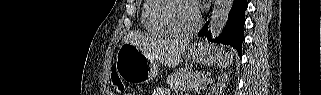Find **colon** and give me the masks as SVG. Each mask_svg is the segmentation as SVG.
I'll return each mask as SVG.
<instances>
[{"mask_svg":"<svg viewBox=\"0 0 321 95\" xmlns=\"http://www.w3.org/2000/svg\"><path fill=\"white\" fill-rule=\"evenodd\" d=\"M111 84L118 94H123L125 85L116 72L111 73Z\"/></svg>","mask_w":321,"mask_h":95,"instance_id":"5ec220e1","label":"colon"}]
</instances>
